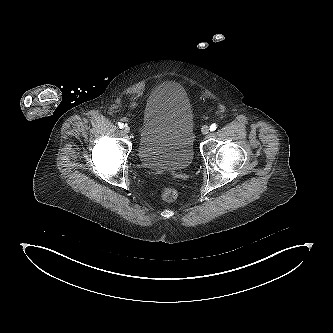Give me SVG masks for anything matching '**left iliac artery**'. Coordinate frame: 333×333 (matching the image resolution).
Instances as JSON below:
<instances>
[{"mask_svg": "<svg viewBox=\"0 0 333 333\" xmlns=\"http://www.w3.org/2000/svg\"><path fill=\"white\" fill-rule=\"evenodd\" d=\"M216 128H217V125H216V124H212V125L210 126V131H215Z\"/></svg>", "mask_w": 333, "mask_h": 333, "instance_id": "1", "label": "left iliac artery"}]
</instances>
